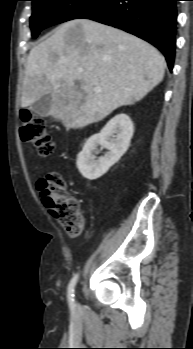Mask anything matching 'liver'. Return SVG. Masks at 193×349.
<instances>
[{"instance_id": "6515ba94", "label": "liver", "mask_w": 193, "mask_h": 349, "mask_svg": "<svg viewBox=\"0 0 193 349\" xmlns=\"http://www.w3.org/2000/svg\"><path fill=\"white\" fill-rule=\"evenodd\" d=\"M165 66L163 55L138 37L88 19L71 20L31 49L21 107L49 94L48 115L66 129H81L141 100L163 80Z\"/></svg>"}]
</instances>
